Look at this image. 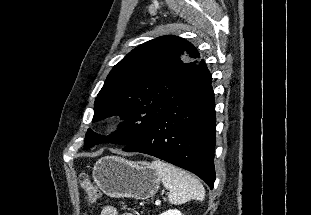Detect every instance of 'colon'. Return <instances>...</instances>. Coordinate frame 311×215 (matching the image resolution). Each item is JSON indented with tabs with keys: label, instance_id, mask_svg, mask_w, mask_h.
Segmentation results:
<instances>
[{
	"label": "colon",
	"instance_id": "5ec220e1",
	"mask_svg": "<svg viewBox=\"0 0 311 215\" xmlns=\"http://www.w3.org/2000/svg\"><path fill=\"white\" fill-rule=\"evenodd\" d=\"M79 182L83 191L87 195L88 200L91 203H96L97 201L100 200L102 194L100 190L90 182L87 174L81 173L79 177Z\"/></svg>",
	"mask_w": 311,
	"mask_h": 215
}]
</instances>
